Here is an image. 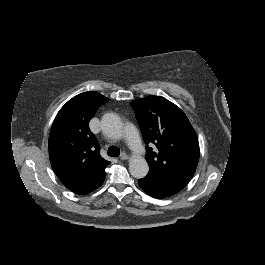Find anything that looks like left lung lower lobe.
Returning a JSON list of instances; mask_svg holds the SVG:
<instances>
[{"mask_svg": "<svg viewBox=\"0 0 265 265\" xmlns=\"http://www.w3.org/2000/svg\"><path fill=\"white\" fill-rule=\"evenodd\" d=\"M138 183L147 194L154 198L172 196L187 185V182L162 180L148 174L138 180Z\"/></svg>", "mask_w": 265, "mask_h": 265, "instance_id": "obj_1", "label": "left lung lower lobe"}]
</instances>
